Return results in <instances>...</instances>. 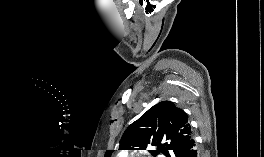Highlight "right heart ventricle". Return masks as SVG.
Returning a JSON list of instances; mask_svg holds the SVG:
<instances>
[{
    "label": "right heart ventricle",
    "mask_w": 264,
    "mask_h": 157,
    "mask_svg": "<svg viewBox=\"0 0 264 157\" xmlns=\"http://www.w3.org/2000/svg\"><path fill=\"white\" fill-rule=\"evenodd\" d=\"M117 157H126V156H124V155H120V156H117Z\"/></svg>",
    "instance_id": "right-heart-ventricle-1"
}]
</instances>
